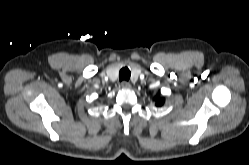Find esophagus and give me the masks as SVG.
<instances>
[{"label": "esophagus", "mask_w": 249, "mask_h": 165, "mask_svg": "<svg viewBox=\"0 0 249 165\" xmlns=\"http://www.w3.org/2000/svg\"><path fill=\"white\" fill-rule=\"evenodd\" d=\"M121 87L123 89H130L131 88V84L129 82H127V81H122L121 82Z\"/></svg>", "instance_id": "1"}]
</instances>
